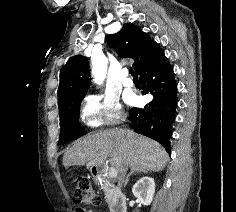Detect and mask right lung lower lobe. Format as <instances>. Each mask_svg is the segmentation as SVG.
<instances>
[{
  "instance_id": "1",
  "label": "right lung lower lobe",
  "mask_w": 236,
  "mask_h": 212,
  "mask_svg": "<svg viewBox=\"0 0 236 212\" xmlns=\"http://www.w3.org/2000/svg\"><path fill=\"white\" fill-rule=\"evenodd\" d=\"M137 74L143 87L142 95L151 93L153 99L143 108L129 111L133 129L158 141L170 153L169 139L177 107V85L173 68L158 45Z\"/></svg>"
}]
</instances>
